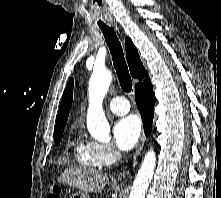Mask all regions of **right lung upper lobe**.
Returning <instances> with one entry per match:
<instances>
[{"instance_id":"right-lung-upper-lobe-1","label":"right lung upper lobe","mask_w":221,"mask_h":198,"mask_svg":"<svg viewBox=\"0 0 221 198\" xmlns=\"http://www.w3.org/2000/svg\"><path fill=\"white\" fill-rule=\"evenodd\" d=\"M125 48H126V57L129 65L131 75L134 78H138L140 82L136 84V88L149 79L148 73L143 67V64L140 61L138 51L133 45L130 38H125ZM73 86L74 80L70 79L68 82L64 94L59 106L58 116L56 119L55 132L61 129H64L68 119L69 111L73 101Z\"/></svg>"}]
</instances>
